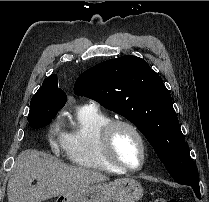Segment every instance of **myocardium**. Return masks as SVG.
Returning a JSON list of instances; mask_svg holds the SVG:
<instances>
[{"label": "myocardium", "instance_id": "obj_1", "mask_svg": "<svg viewBox=\"0 0 209 202\" xmlns=\"http://www.w3.org/2000/svg\"><path fill=\"white\" fill-rule=\"evenodd\" d=\"M124 127L135 134L141 145L142 157L138 166H129L118 160L112 151L111 140L116 129ZM99 148L106 161L113 167L125 171L136 172L142 169L148 156V145L142 131L132 122L123 119L111 120L102 130L99 138Z\"/></svg>", "mask_w": 209, "mask_h": 202}]
</instances>
